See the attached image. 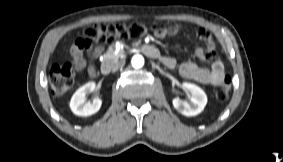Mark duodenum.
I'll list each match as a JSON object with an SVG mask.
<instances>
[{
	"mask_svg": "<svg viewBox=\"0 0 283 162\" xmlns=\"http://www.w3.org/2000/svg\"><path fill=\"white\" fill-rule=\"evenodd\" d=\"M141 49L149 57L158 58L160 56V53H159L158 49L155 46L151 45V44H143L141 46ZM111 69H112V64L109 61H104L101 64V72H102V74H104V75L109 74Z\"/></svg>",
	"mask_w": 283,
	"mask_h": 162,
	"instance_id": "duodenum-1",
	"label": "duodenum"
}]
</instances>
